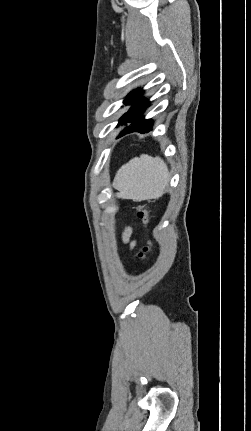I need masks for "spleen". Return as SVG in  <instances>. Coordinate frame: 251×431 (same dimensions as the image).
I'll return each instance as SVG.
<instances>
[{
	"mask_svg": "<svg viewBox=\"0 0 251 431\" xmlns=\"http://www.w3.org/2000/svg\"><path fill=\"white\" fill-rule=\"evenodd\" d=\"M168 175V168L161 158L142 154L117 171L112 185L118 190V198L139 201L157 199L164 193Z\"/></svg>",
	"mask_w": 251,
	"mask_h": 431,
	"instance_id": "3e777b00",
	"label": "spleen"
}]
</instances>
